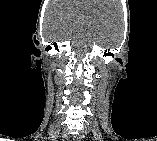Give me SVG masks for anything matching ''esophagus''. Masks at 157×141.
<instances>
[{"mask_svg": "<svg viewBox=\"0 0 157 141\" xmlns=\"http://www.w3.org/2000/svg\"><path fill=\"white\" fill-rule=\"evenodd\" d=\"M74 141H80L81 140V136L80 135H76L74 136Z\"/></svg>", "mask_w": 157, "mask_h": 141, "instance_id": "1", "label": "esophagus"}]
</instances>
